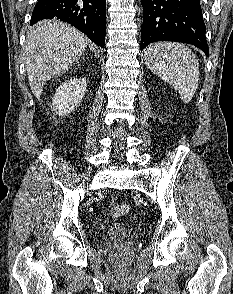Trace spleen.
I'll return each mask as SVG.
<instances>
[{"mask_svg":"<svg viewBox=\"0 0 233 294\" xmlns=\"http://www.w3.org/2000/svg\"><path fill=\"white\" fill-rule=\"evenodd\" d=\"M144 59L148 68L178 91L189 103L198 87L199 64L191 49L181 43L158 42L147 47Z\"/></svg>","mask_w":233,"mask_h":294,"instance_id":"obj_1","label":"spleen"}]
</instances>
